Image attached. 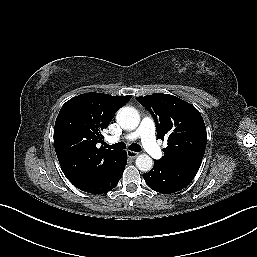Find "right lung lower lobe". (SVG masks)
<instances>
[{"instance_id": "1", "label": "right lung lower lobe", "mask_w": 257, "mask_h": 257, "mask_svg": "<svg viewBox=\"0 0 257 257\" xmlns=\"http://www.w3.org/2000/svg\"><path fill=\"white\" fill-rule=\"evenodd\" d=\"M127 155L125 151H119L114 161L107 165L98 175L80 181L71 182L75 187L82 191L92 194H102L113 189L121 179Z\"/></svg>"}]
</instances>
